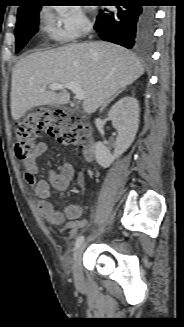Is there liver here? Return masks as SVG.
Wrapping results in <instances>:
<instances>
[{"label": "liver", "mask_w": 184, "mask_h": 327, "mask_svg": "<svg viewBox=\"0 0 184 327\" xmlns=\"http://www.w3.org/2000/svg\"><path fill=\"white\" fill-rule=\"evenodd\" d=\"M143 73L133 52L104 41L31 53L12 72L11 115L19 120L33 107L67 104L70 94L65 90L40 91L52 83L78 84L84 91L83 109L92 114Z\"/></svg>", "instance_id": "6515ba94"}]
</instances>
